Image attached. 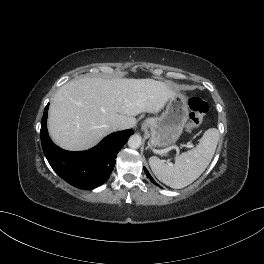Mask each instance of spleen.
<instances>
[{"label": "spleen", "instance_id": "spleen-1", "mask_svg": "<svg viewBox=\"0 0 264 264\" xmlns=\"http://www.w3.org/2000/svg\"><path fill=\"white\" fill-rule=\"evenodd\" d=\"M219 140L216 128L205 131L199 144L175 158V163H164L157 157H150L149 164L159 181L174 189L193 183L209 165Z\"/></svg>", "mask_w": 264, "mask_h": 264}]
</instances>
